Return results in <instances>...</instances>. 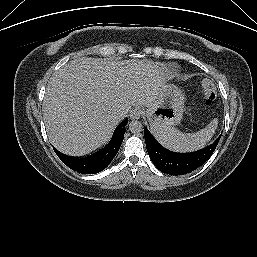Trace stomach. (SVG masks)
Wrapping results in <instances>:
<instances>
[{
	"label": "stomach",
	"instance_id": "stomach-1",
	"mask_svg": "<svg viewBox=\"0 0 257 257\" xmlns=\"http://www.w3.org/2000/svg\"><path fill=\"white\" fill-rule=\"evenodd\" d=\"M185 97L173 84H164L158 98L146 110L151 127L167 128L180 123L184 112Z\"/></svg>",
	"mask_w": 257,
	"mask_h": 257
}]
</instances>
